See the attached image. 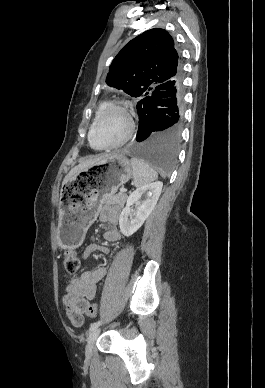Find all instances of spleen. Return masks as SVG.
Listing matches in <instances>:
<instances>
[{"label": "spleen", "instance_id": "3e777b00", "mask_svg": "<svg viewBox=\"0 0 265 388\" xmlns=\"http://www.w3.org/2000/svg\"><path fill=\"white\" fill-rule=\"evenodd\" d=\"M130 162L135 188H142V186H147L150 182L157 180L158 174L149 166L148 162L138 160V158H131Z\"/></svg>", "mask_w": 265, "mask_h": 388}]
</instances>
